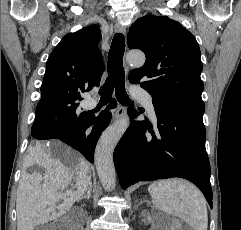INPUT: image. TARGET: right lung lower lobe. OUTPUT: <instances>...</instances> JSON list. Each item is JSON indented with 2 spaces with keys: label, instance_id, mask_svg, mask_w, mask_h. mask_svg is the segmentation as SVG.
I'll return each mask as SVG.
<instances>
[{
  "label": "right lung lower lobe",
  "instance_id": "right-lung-lower-lobe-1",
  "mask_svg": "<svg viewBox=\"0 0 241 230\" xmlns=\"http://www.w3.org/2000/svg\"><path fill=\"white\" fill-rule=\"evenodd\" d=\"M116 105L117 102L115 99L111 100L108 106L109 108L101 112L97 117L88 116L78 128L67 133L50 130L46 126L42 125L39 120V114L36 111V117L31 129V134L39 140L59 139L78 150L88 161L93 163L96 143L102 131L107 127L111 119V113L108 112V110L115 108ZM91 125H94L92 132L89 135L85 134L86 129Z\"/></svg>",
  "mask_w": 241,
  "mask_h": 230
}]
</instances>
